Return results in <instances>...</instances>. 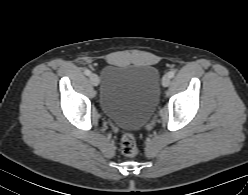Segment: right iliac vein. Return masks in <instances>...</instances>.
I'll return each mask as SVG.
<instances>
[{
	"label": "right iliac vein",
	"instance_id": "obj_1",
	"mask_svg": "<svg viewBox=\"0 0 248 195\" xmlns=\"http://www.w3.org/2000/svg\"><path fill=\"white\" fill-rule=\"evenodd\" d=\"M90 81L94 86H97L99 84V78L96 74L90 75Z\"/></svg>",
	"mask_w": 248,
	"mask_h": 195
}]
</instances>
